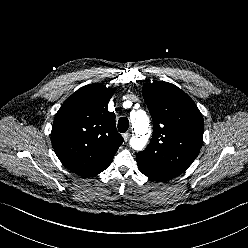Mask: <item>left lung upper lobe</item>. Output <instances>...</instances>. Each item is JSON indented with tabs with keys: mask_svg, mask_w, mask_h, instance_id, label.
<instances>
[{
	"mask_svg": "<svg viewBox=\"0 0 248 248\" xmlns=\"http://www.w3.org/2000/svg\"><path fill=\"white\" fill-rule=\"evenodd\" d=\"M143 97L153 119L149 145L136 156L139 170L156 181H167L184 172L203 143L202 114L177 86L146 83Z\"/></svg>",
	"mask_w": 248,
	"mask_h": 248,
	"instance_id": "obj_1",
	"label": "left lung upper lobe"
}]
</instances>
